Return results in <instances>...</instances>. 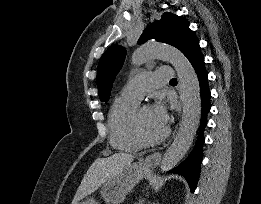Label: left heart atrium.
I'll return each instance as SVG.
<instances>
[{"mask_svg":"<svg viewBox=\"0 0 261 204\" xmlns=\"http://www.w3.org/2000/svg\"><path fill=\"white\" fill-rule=\"evenodd\" d=\"M151 109L157 124L160 127L166 129L169 122V114L165 102L161 98H159L153 104Z\"/></svg>","mask_w":261,"mask_h":204,"instance_id":"obj_1","label":"left heart atrium"}]
</instances>
